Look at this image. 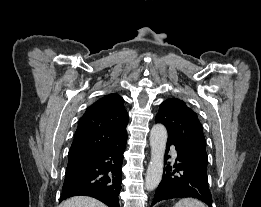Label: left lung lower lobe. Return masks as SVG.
Here are the masks:
<instances>
[{"label": "left lung lower lobe", "instance_id": "0a47b994", "mask_svg": "<svg viewBox=\"0 0 261 207\" xmlns=\"http://www.w3.org/2000/svg\"><path fill=\"white\" fill-rule=\"evenodd\" d=\"M170 145L171 143L167 142L166 153ZM176 150V162L173 166L167 164L151 207L162 200L182 197L196 198L212 207L207 167L195 162L177 148ZM164 162L166 163V159Z\"/></svg>", "mask_w": 261, "mask_h": 207}]
</instances>
